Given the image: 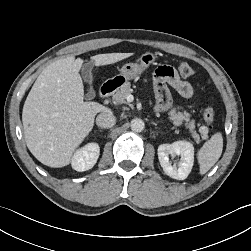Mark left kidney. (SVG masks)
<instances>
[{
    "instance_id": "5707ae66",
    "label": "left kidney",
    "mask_w": 251,
    "mask_h": 251,
    "mask_svg": "<svg viewBox=\"0 0 251 251\" xmlns=\"http://www.w3.org/2000/svg\"><path fill=\"white\" fill-rule=\"evenodd\" d=\"M180 156V161L172 165L169 161ZM158 159L166 175L173 179L184 180L188 177L194 163V146L189 141H176L172 144H161L158 147Z\"/></svg>"
}]
</instances>
